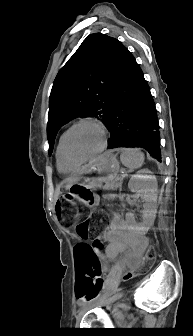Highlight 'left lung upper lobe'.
<instances>
[{
    "label": "left lung upper lobe",
    "instance_id": "obj_1",
    "mask_svg": "<svg viewBox=\"0 0 193 336\" xmlns=\"http://www.w3.org/2000/svg\"><path fill=\"white\" fill-rule=\"evenodd\" d=\"M126 47L105 34L89 35L57 74L50 94L49 155L58 130L75 117L108 122Z\"/></svg>",
    "mask_w": 193,
    "mask_h": 336
}]
</instances>
